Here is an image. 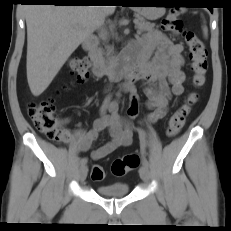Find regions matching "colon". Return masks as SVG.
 I'll return each mask as SVG.
<instances>
[{
  "label": "colon",
  "mask_w": 231,
  "mask_h": 231,
  "mask_svg": "<svg viewBox=\"0 0 231 231\" xmlns=\"http://www.w3.org/2000/svg\"><path fill=\"white\" fill-rule=\"evenodd\" d=\"M180 14L181 11L179 9H171L162 21V28L174 36L182 38L186 43L193 73V85L196 88H200L205 83L208 71L207 50L194 32L184 29ZM68 68L78 83H83L89 76V63L85 58L73 57L69 61ZM196 101L197 94L192 93L187 101L172 114L167 127L169 137H175L180 133L190 112V108ZM28 113L35 127L47 138L58 143H67L71 140L72 132L63 126L55 115V105L52 98L40 102H31ZM138 163L139 159L137 155L127 154L113 161L111 172L117 177H122L130 170L136 168ZM104 175L102 166L94 165L92 167V180L100 181L104 178Z\"/></svg>",
  "instance_id": "obj_1"
}]
</instances>
